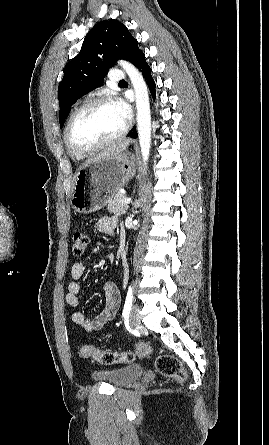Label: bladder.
Listing matches in <instances>:
<instances>
[{"label":"bladder","mask_w":269,"mask_h":445,"mask_svg":"<svg viewBox=\"0 0 269 445\" xmlns=\"http://www.w3.org/2000/svg\"><path fill=\"white\" fill-rule=\"evenodd\" d=\"M143 373L144 368L142 365L132 364L111 370L96 371L93 373V377L112 386L122 387L134 382L140 378Z\"/></svg>","instance_id":"obj_1"}]
</instances>
